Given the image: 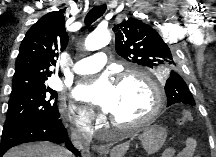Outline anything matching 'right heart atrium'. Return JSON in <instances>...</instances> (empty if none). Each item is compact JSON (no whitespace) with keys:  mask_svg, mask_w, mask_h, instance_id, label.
Segmentation results:
<instances>
[{"mask_svg":"<svg viewBox=\"0 0 216 157\" xmlns=\"http://www.w3.org/2000/svg\"><path fill=\"white\" fill-rule=\"evenodd\" d=\"M59 113L62 119L78 132L91 131L93 124L99 121V118L90 110L77 108L66 102L60 103Z\"/></svg>","mask_w":216,"mask_h":157,"instance_id":"1","label":"right heart atrium"}]
</instances>
